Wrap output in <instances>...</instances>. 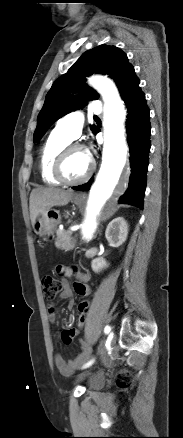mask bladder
I'll return each instance as SVG.
<instances>
[{"label":"bladder","mask_w":183,"mask_h":438,"mask_svg":"<svg viewBox=\"0 0 183 438\" xmlns=\"http://www.w3.org/2000/svg\"><path fill=\"white\" fill-rule=\"evenodd\" d=\"M91 388H99L104 385V378L102 376H95L90 380Z\"/></svg>","instance_id":"obj_1"}]
</instances>
